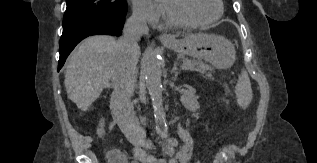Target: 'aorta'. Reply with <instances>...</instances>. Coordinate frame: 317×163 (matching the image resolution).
Returning <instances> with one entry per match:
<instances>
[{
    "instance_id": "aorta-1",
    "label": "aorta",
    "mask_w": 317,
    "mask_h": 163,
    "mask_svg": "<svg viewBox=\"0 0 317 163\" xmlns=\"http://www.w3.org/2000/svg\"><path fill=\"white\" fill-rule=\"evenodd\" d=\"M143 73L154 108L155 124L158 128H163L165 125V112L162 99V69L159 56L153 49H148L145 52Z\"/></svg>"
}]
</instances>
